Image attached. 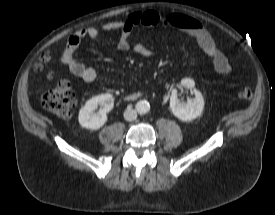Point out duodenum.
Masks as SVG:
<instances>
[{
  "label": "duodenum",
  "instance_id": "410a0bca",
  "mask_svg": "<svg viewBox=\"0 0 275 215\" xmlns=\"http://www.w3.org/2000/svg\"><path fill=\"white\" fill-rule=\"evenodd\" d=\"M141 95L140 94H132V95H127L124 97V100L125 101H128V102H132V101H135L137 100L138 98H140Z\"/></svg>",
  "mask_w": 275,
  "mask_h": 215
}]
</instances>
